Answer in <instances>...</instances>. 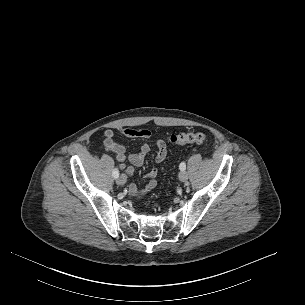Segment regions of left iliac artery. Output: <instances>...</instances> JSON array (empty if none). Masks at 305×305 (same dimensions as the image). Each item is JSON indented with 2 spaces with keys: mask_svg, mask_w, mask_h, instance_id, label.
Masks as SVG:
<instances>
[{
  "mask_svg": "<svg viewBox=\"0 0 305 305\" xmlns=\"http://www.w3.org/2000/svg\"><path fill=\"white\" fill-rule=\"evenodd\" d=\"M179 168H180L181 171H182V170H185V169H186V164H185V162H181L180 165H179Z\"/></svg>",
  "mask_w": 305,
  "mask_h": 305,
  "instance_id": "obj_1",
  "label": "left iliac artery"
}]
</instances>
